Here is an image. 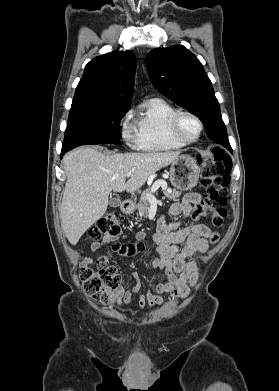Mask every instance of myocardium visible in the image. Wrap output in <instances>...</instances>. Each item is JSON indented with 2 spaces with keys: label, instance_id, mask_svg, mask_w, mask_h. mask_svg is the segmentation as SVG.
<instances>
[{
  "label": "myocardium",
  "instance_id": "1",
  "mask_svg": "<svg viewBox=\"0 0 279 391\" xmlns=\"http://www.w3.org/2000/svg\"><path fill=\"white\" fill-rule=\"evenodd\" d=\"M185 116L191 117L198 124V134L194 139L191 140L186 139L180 132V123L182 118ZM203 128V122L201 119L195 113L189 110H178L170 121V132L172 137L183 145H190L197 142L202 135Z\"/></svg>",
  "mask_w": 279,
  "mask_h": 391
}]
</instances>
